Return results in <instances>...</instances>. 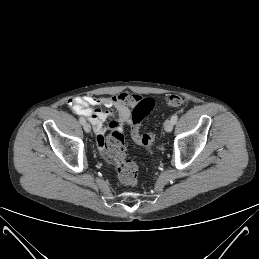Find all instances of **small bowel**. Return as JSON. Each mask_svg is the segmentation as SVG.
<instances>
[{
  "instance_id": "small-bowel-1",
  "label": "small bowel",
  "mask_w": 259,
  "mask_h": 259,
  "mask_svg": "<svg viewBox=\"0 0 259 259\" xmlns=\"http://www.w3.org/2000/svg\"><path fill=\"white\" fill-rule=\"evenodd\" d=\"M140 99L136 94L122 92L110 97H75L69 100V105L76 114L85 116L91 122L98 145L104 149L106 132L114 129L122 131L125 125L131 124V109ZM100 106L115 108L118 113V120H112L108 128L104 126V122L114 114L111 110L99 109Z\"/></svg>"
}]
</instances>
